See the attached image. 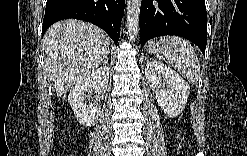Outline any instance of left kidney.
<instances>
[{"mask_svg": "<svg viewBox=\"0 0 247 156\" xmlns=\"http://www.w3.org/2000/svg\"><path fill=\"white\" fill-rule=\"evenodd\" d=\"M147 83L156 89V99L168 117H177L187 104L190 86L172 68L157 60L147 61Z\"/></svg>", "mask_w": 247, "mask_h": 156, "instance_id": "obj_1", "label": "left kidney"}]
</instances>
